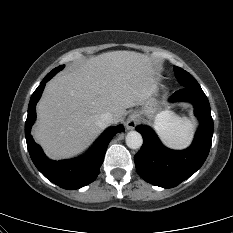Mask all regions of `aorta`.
Returning a JSON list of instances; mask_svg holds the SVG:
<instances>
[{
  "label": "aorta",
  "instance_id": "762f6f07",
  "mask_svg": "<svg viewBox=\"0 0 233 233\" xmlns=\"http://www.w3.org/2000/svg\"><path fill=\"white\" fill-rule=\"evenodd\" d=\"M126 144L131 149H138L142 146L143 139L139 132L130 131L126 135Z\"/></svg>",
  "mask_w": 233,
  "mask_h": 233
}]
</instances>
